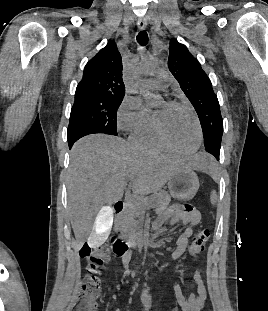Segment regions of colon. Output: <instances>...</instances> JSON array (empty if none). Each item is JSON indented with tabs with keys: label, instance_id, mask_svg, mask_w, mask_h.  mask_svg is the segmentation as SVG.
Wrapping results in <instances>:
<instances>
[{
	"label": "colon",
	"instance_id": "colon-1",
	"mask_svg": "<svg viewBox=\"0 0 268 311\" xmlns=\"http://www.w3.org/2000/svg\"><path fill=\"white\" fill-rule=\"evenodd\" d=\"M209 237V230L203 229L199 231L189 246L190 255L197 257L198 254L203 252ZM114 253L116 252L114 251ZM110 254L111 249L105 245L99 246L97 249H92L86 243L81 248L80 255L86 261L85 275L78 285L75 302L69 311H96V299L101 287V268L107 262Z\"/></svg>",
	"mask_w": 268,
	"mask_h": 311
}]
</instances>
